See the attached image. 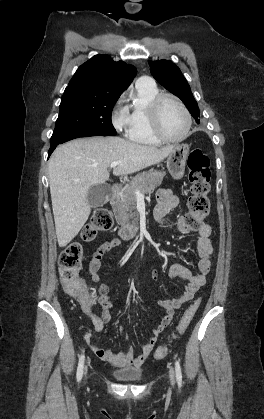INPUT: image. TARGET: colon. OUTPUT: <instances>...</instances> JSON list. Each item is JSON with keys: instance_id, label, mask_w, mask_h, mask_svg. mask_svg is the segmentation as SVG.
Wrapping results in <instances>:
<instances>
[{"instance_id": "5ec220e1", "label": "colon", "mask_w": 264, "mask_h": 419, "mask_svg": "<svg viewBox=\"0 0 264 419\" xmlns=\"http://www.w3.org/2000/svg\"><path fill=\"white\" fill-rule=\"evenodd\" d=\"M188 179L190 183V197L188 199V213L184 216L185 223L193 230H199L202 220L210 210L208 193L210 191V168L208 157L200 150H193L188 157ZM114 227V220L106 209L95 211L91 220L83 231L86 240L94 239L99 233L108 232ZM83 251L79 243H72L59 256V273L65 292L78 299L83 311H91L94 305L93 293L80 277ZM200 300L197 299L183 314L175 337L182 335L194 318ZM168 353L167 346H161L155 351V359H162Z\"/></svg>"}]
</instances>
